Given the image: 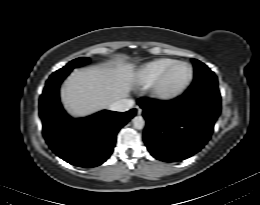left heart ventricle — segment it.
Instances as JSON below:
<instances>
[{"mask_svg": "<svg viewBox=\"0 0 260 205\" xmlns=\"http://www.w3.org/2000/svg\"><path fill=\"white\" fill-rule=\"evenodd\" d=\"M188 77L189 68L185 65H178L168 75L164 86L167 90L177 89L187 81Z\"/></svg>", "mask_w": 260, "mask_h": 205, "instance_id": "b2bd125f", "label": "left heart ventricle"}]
</instances>
